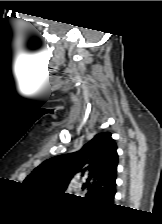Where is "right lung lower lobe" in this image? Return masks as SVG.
Here are the masks:
<instances>
[{
	"instance_id": "1",
	"label": "right lung lower lobe",
	"mask_w": 162,
	"mask_h": 224,
	"mask_svg": "<svg viewBox=\"0 0 162 224\" xmlns=\"http://www.w3.org/2000/svg\"><path fill=\"white\" fill-rule=\"evenodd\" d=\"M113 199H114V196L111 198V201H110V202H112V201H113Z\"/></svg>"
}]
</instances>
